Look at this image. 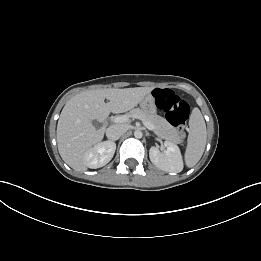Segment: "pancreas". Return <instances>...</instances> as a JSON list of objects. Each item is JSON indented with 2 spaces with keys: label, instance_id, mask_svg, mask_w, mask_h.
I'll list each match as a JSON object with an SVG mask.
<instances>
[{
  "label": "pancreas",
  "instance_id": "1",
  "mask_svg": "<svg viewBox=\"0 0 261 261\" xmlns=\"http://www.w3.org/2000/svg\"><path fill=\"white\" fill-rule=\"evenodd\" d=\"M127 116L131 118L138 117L150 122L154 126V133L162 139L177 144L182 142L176 128H174L166 119L155 113H148L139 108H135L130 110L127 113Z\"/></svg>",
  "mask_w": 261,
  "mask_h": 261
}]
</instances>
